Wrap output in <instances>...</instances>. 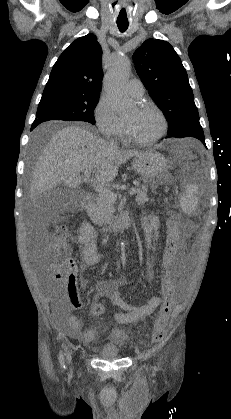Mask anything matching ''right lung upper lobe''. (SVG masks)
Instances as JSON below:
<instances>
[{"instance_id": "1", "label": "right lung upper lobe", "mask_w": 231, "mask_h": 419, "mask_svg": "<svg viewBox=\"0 0 231 419\" xmlns=\"http://www.w3.org/2000/svg\"><path fill=\"white\" fill-rule=\"evenodd\" d=\"M101 57L102 49L95 35L76 39L54 64L46 87L100 94L103 78Z\"/></svg>"}]
</instances>
